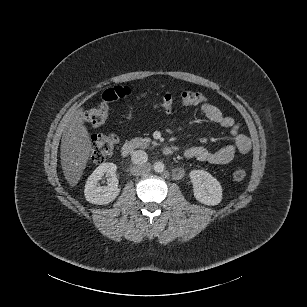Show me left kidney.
Masks as SVG:
<instances>
[{
  "label": "left kidney",
  "mask_w": 307,
  "mask_h": 307,
  "mask_svg": "<svg viewBox=\"0 0 307 307\" xmlns=\"http://www.w3.org/2000/svg\"><path fill=\"white\" fill-rule=\"evenodd\" d=\"M193 195L197 202L206 206H217L223 198V189L220 182L209 172L192 170L189 173Z\"/></svg>",
  "instance_id": "left-kidney-1"
}]
</instances>
